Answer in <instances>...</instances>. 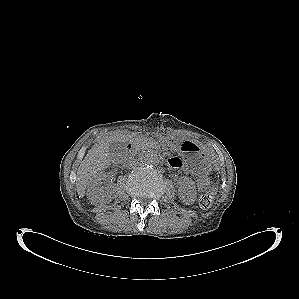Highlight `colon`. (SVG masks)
<instances>
[{"label":"colon","mask_w":299,"mask_h":299,"mask_svg":"<svg viewBox=\"0 0 299 299\" xmlns=\"http://www.w3.org/2000/svg\"><path fill=\"white\" fill-rule=\"evenodd\" d=\"M197 184L204 191L198 198L199 205L202 208H209L214 202V191L210 188V180L206 176H201Z\"/></svg>","instance_id":"1"}]
</instances>
